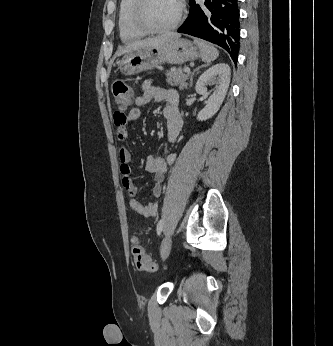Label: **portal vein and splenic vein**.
<instances>
[{"mask_svg": "<svg viewBox=\"0 0 333 346\" xmlns=\"http://www.w3.org/2000/svg\"><path fill=\"white\" fill-rule=\"evenodd\" d=\"M184 72L189 73L190 72V68L189 67H185L184 68Z\"/></svg>", "mask_w": 333, "mask_h": 346, "instance_id": "obj_1", "label": "portal vein and splenic vein"}]
</instances>
